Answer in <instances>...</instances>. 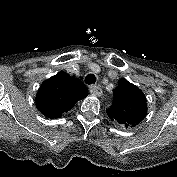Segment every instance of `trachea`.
I'll return each mask as SVG.
<instances>
[{
	"mask_svg": "<svg viewBox=\"0 0 177 177\" xmlns=\"http://www.w3.org/2000/svg\"><path fill=\"white\" fill-rule=\"evenodd\" d=\"M96 81V77L94 74H88L86 76V79H85V82L90 85V84H93L94 82Z\"/></svg>",
	"mask_w": 177,
	"mask_h": 177,
	"instance_id": "3493384b",
	"label": "trachea"
}]
</instances>
